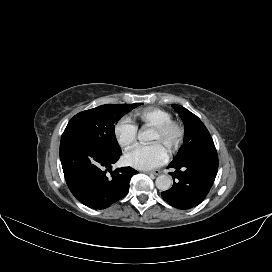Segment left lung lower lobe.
I'll use <instances>...</instances> for the list:
<instances>
[{"instance_id": "0a47b994", "label": "left lung lower lobe", "mask_w": 272, "mask_h": 272, "mask_svg": "<svg viewBox=\"0 0 272 272\" xmlns=\"http://www.w3.org/2000/svg\"><path fill=\"white\" fill-rule=\"evenodd\" d=\"M178 182L162 193V198L178 209H190L199 205L209 193L218 171V155L215 146L194 152L179 161H172Z\"/></svg>"}]
</instances>
